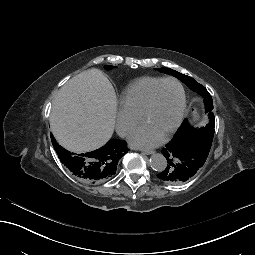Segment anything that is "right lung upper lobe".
I'll return each mask as SVG.
<instances>
[{
  "label": "right lung upper lobe",
  "instance_id": "right-lung-upper-lobe-1",
  "mask_svg": "<svg viewBox=\"0 0 255 255\" xmlns=\"http://www.w3.org/2000/svg\"><path fill=\"white\" fill-rule=\"evenodd\" d=\"M51 141L61 162L82 181L89 183H101L116 174L119 159L127 153V143L124 140L111 139L101 148L85 153L74 155L61 147L53 136ZM92 155L100 159V176L98 178L85 179L83 177V157Z\"/></svg>",
  "mask_w": 255,
  "mask_h": 255
}]
</instances>
